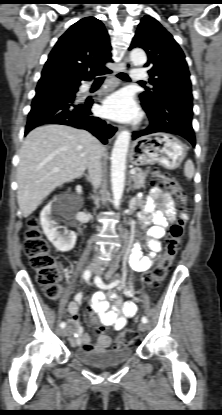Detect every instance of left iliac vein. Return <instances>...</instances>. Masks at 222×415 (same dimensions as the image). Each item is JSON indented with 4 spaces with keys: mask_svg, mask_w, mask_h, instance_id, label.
I'll return each mask as SVG.
<instances>
[{
    "mask_svg": "<svg viewBox=\"0 0 222 415\" xmlns=\"http://www.w3.org/2000/svg\"><path fill=\"white\" fill-rule=\"evenodd\" d=\"M94 273L97 276H101L103 274V271L100 268H96ZM138 327H139V330L142 331V332L146 331V329H147V325L144 322H140Z\"/></svg>",
    "mask_w": 222,
    "mask_h": 415,
    "instance_id": "obj_1",
    "label": "left iliac vein"
}]
</instances>
